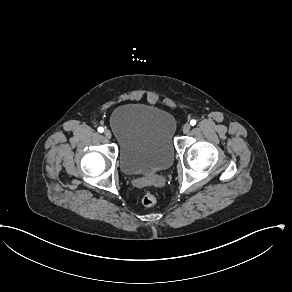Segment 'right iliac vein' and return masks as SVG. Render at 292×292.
<instances>
[{"label": "right iliac vein", "instance_id": "63e3f726", "mask_svg": "<svg viewBox=\"0 0 292 292\" xmlns=\"http://www.w3.org/2000/svg\"><path fill=\"white\" fill-rule=\"evenodd\" d=\"M104 136H105L107 139H110L111 136H112L110 130L106 129V130L104 131Z\"/></svg>", "mask_w": 292, "mask_h": 292}]
</instances>
